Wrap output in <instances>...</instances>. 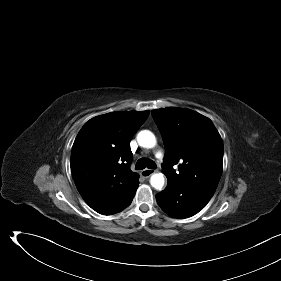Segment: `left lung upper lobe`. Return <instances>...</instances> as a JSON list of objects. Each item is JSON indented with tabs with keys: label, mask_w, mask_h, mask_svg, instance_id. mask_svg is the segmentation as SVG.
<instances>
[{
	"label": "left lung upper lobe",
	"mask_w": 281,
	"mask_h": 281,
	"mask_svg": "<svg viewBox=\"0 0 281 281\" xmlns=\"http://www.w3.org/2000/svg\"><path fill=\"white\" fill-rule=\"evenodd\" d=\"M165 147L162 172L168 182L214 194L222 174L223 141L207 117L188 109L152 111ZM178 164L176 172L172 167Z\"/></svg>",
	"instance_id": "1"
}]
</instances>
